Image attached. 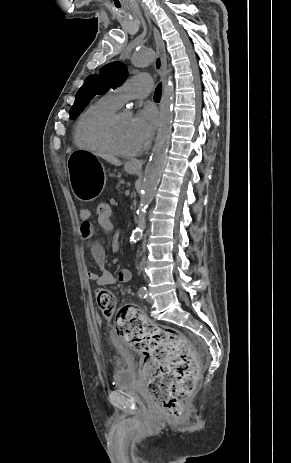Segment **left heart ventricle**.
Returning <instances> with one entry per match:
<instances>
[{"label":"left heart ventricle","instance_id":"left-heart-ventricle-1","mask_svg":"<svg viewBox=\"0 0 291 463\" xmlns=\"http://www.w3.org/2000/svg\"><path fill=\"white\" fill-rule=\"evenodd\" d=\"M110 136L113 143L124 151H135L141 146L132 128V119L122 114L111 128Z\"/></svg>","mask_w":291,"mask_h":463}]
</instances>
